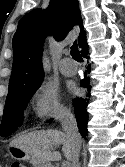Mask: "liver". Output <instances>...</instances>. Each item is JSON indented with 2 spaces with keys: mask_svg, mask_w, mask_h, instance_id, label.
<instances>
[{
  "mask_svg": "<svg viewBox=\"0 0 125 167\" xmlns=\"http://www.w3.org/2000/svg\"><path fill=\"white\" fill-rule=\"evenodd\" d=\"M21 148L29 155L45 162L61 160V154L50 149L62 145V151L67 160L72 156V143L65 132L59 130H40L22 134L10 144Z\"/></svg>",
  "mask_w": 125,
  "mask_h": 167,
  "instance_id": "6515ba94",
  "label": "liver"
}]
</instances>
